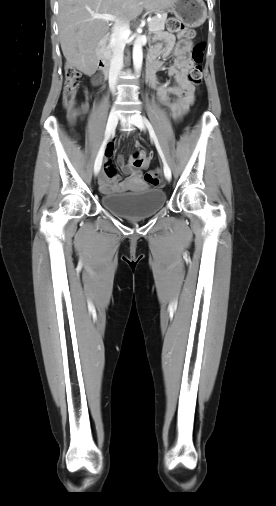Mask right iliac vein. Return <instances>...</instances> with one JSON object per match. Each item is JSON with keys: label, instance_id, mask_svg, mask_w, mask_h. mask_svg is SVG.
<instances>
[{"label": "right iliac vein", "instance_id": "obj_1", "mask_svg": "<svg viewBox=\"0 0 276 506\" xmlns=\"http://www.w3.org/2000/svg\"><path fill=\"white\" fill-rule=\"evenodd\" d=\"M117 123H118V115H117V112L113 110L110 113L109 118H108V122H107V127H106V131H105V140H104L105 144H106V141L108 140V138L110 137V135L112 134V132L114 131ZM103 153H104V147H103V150L100 153H98L96 161L102 160ZM94 172H95V175H97L99 173V170L94 171Z\"/></svg>", "mask_w": 276, "mask_h": 506}]
</instances>
